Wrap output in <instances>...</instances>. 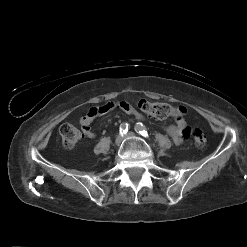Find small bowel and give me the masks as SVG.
I'll return each instance as SVG.
<instances>
[{
  "label": "small bowel",
  "mask_w": 247,
  "mask_h": 247,
  "mask_svg": "<svg viewBox=\"0 0 247 247\" xmlns=\"http://www.w3.org/2000/svg\"><path fill=\"white\" fill-rule=\"evenodd\" d=\"M114 109H120L127 114L134 115L137 119H143L142 114H140L128 102H108L104 105L90 108L88 112L83 117H81L80 125L85 136L88 138H94L95 133L91 129V123L93 122V120ZM175 122L176 124L169 125L165 128V130L168 133V135L172 138L175 144H181L184 141V139H186L189 136L190 129L183 117L175 118Z\"/></svg>",
  "instance_id": "c3829d8e"
}]
</instances>
